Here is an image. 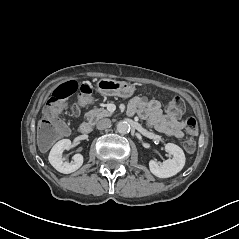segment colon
<instances>
[{
	"label": "colon",
	"instance_id": "obj_1",
	"mask_svg": "<svg viewBox=\"0 0 239 239\" xmlns=\"http://www.w3.org/2000/svg\"><path fill=\"white\" fill-rule=\"evenodd\" d=\"M79 93L74 111L79 112L83 107L92 101V89L88 84L79 85L75 81H68L57 86L47 100L44 110V117L39 125L41 143L46 145L58 139L63 133V127L56 118L62 110L66 101L75 93ZM166 110L170 115H180L185 110V102L176 96L171 98L166 104ZM186 132L188 138L184 141V149L192 153L196 149L195 136L198 132L197 122L194 117L186 119Z\"/></svg>",
	"mask_w": 239,
	"mask_h": 239
}]
</instances>
